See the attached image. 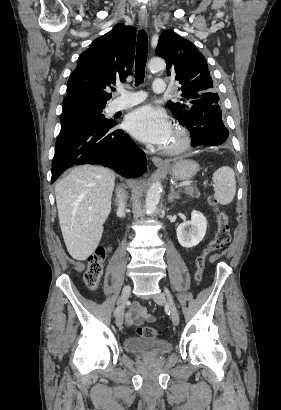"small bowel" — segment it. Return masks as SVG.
<instances>
[{"instance_id":"small-bowel-1","label":"small bowel","mask_w":281,"mask_h":410,"mask_svg":"<svg viewBox=\"0 0 281 410\" xmlns=\"http://www.w3.org/2000/svg\"><path fill=\"white\" fill-rule=\"evenodd\" d=\"M155 317L148 313L146 308L138 303L131 306L130 311L126 314V321L129 325H142L144 322H153Z\"/></svg>"}]
</instances>
